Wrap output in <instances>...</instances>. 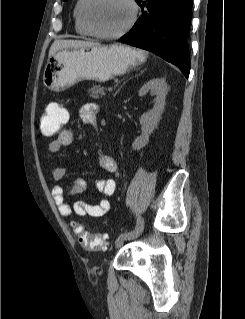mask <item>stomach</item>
Listing matches in <instances>:
<instances>
[{"instance_id": "stomach-1", "label": "stomach", "mask_w": 245, "mask_h": 319, "mask_svg": "<svg viewBox=\"0 0 245 319\" xmlns=\"http://www.w3.org/2000/svg\"><path fill=\"white\" fill-rule=\"evenodd\" d=\"M147 54L125 45L61 49L49 57L43 73L44 85L64 91L82 80L107 81L146 60Z\"/></svg>"}]
</instances>
